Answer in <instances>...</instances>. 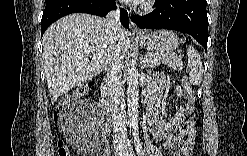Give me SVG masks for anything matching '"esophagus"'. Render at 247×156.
Listing matches in <instances>:
<instances>
[{
    "mask_svg": "<svg viewBox=\"0 0 247 156\" xmlns=\"http://www.w3.org/2000/svg\"><path fill=\"white\" fill-rule=\"evenodd\" d=\"M130 31L132 33H140V29L138 28V26L136 25V23L134 21H132L130 19V25H129Z\"/></svg>",
    "mask_w": 247,
    "mask_h": 156,
    "instance_id": "34e87169",
    "label": "esophagus"
}]
</instances>
